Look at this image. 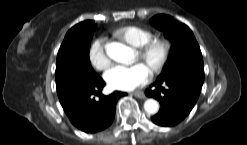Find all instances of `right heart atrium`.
Instances as JSON below:
<instances>
[{"mask_svg":"<svg viewBox=\"0 0 247 145\" xmlns=\"http://www.w3.org/2000/svg\"><path fill=\"white\" fill-rule=\"evenodd\" d=\"M88 58L91 65L104 70L110 64V58L106 52V40L103 37L96 38L90 45Z\"/></svg>","mask_w":247,"mask_h":145,"instance_id":"1","label":"right heart atrium"}]
</instances>
